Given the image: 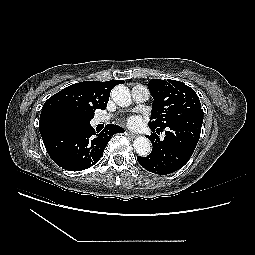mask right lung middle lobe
Wrapping results in <instances>:
<instances>
[{
    "label": "right lung middle lobe",
    "mask_w": 255,
    "mask_h": 255,
    "mask_svg": "<svg viewBox=\"0 0 255 255\" xmlns=\"http://www.w3.org/2000/svg\"><path fill=\"white\" fill-rule=\"evenodd\" d=\"M92 118V116L84 119L60 118L57 119L53 125L62 129L73 131L81 128L84 124L89 123Z\"/></svg>",
    "instance_id": "1"
}]
</instances>
